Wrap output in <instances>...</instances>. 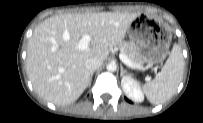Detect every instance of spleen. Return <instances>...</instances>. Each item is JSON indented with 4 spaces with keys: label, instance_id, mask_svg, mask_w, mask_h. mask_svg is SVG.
Instances as JSON below:
<instances>
[{
    "label": "spleen",
    "instance_id": "1",
    "mask_svg": "<svg viewBox=\"0 0 203 123\" xmlns=\"http://www.w3.org/2000/svg\"><path fill=\"white\" fill-rule=\"evenodd\" d=\"M184 72V59L180 47L175 44L156 78L143 85V92L152 104L170 99L176 92Z\"/></svg>",
    "mask_w": 203,
    "mask_h": 123
}]
</instances>
